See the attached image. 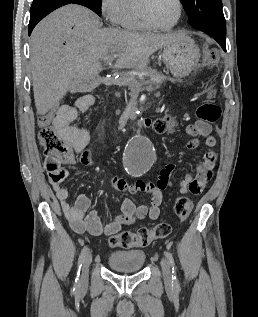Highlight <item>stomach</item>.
I'll return each instance as SVG.
<instances>
[{
    "label": "stomach",
    "instance_id": "0dacf381",
    "mask_svg": "<svg viewBox=\"0 0 258 317\" xmlns=\"http://www.w3.org/2000/svg\"><path fill=\"white\" fill-rule=\"evenodd\" d=\"M200 50L191 36H183L178 42L164 46L162 60L174 76H187L197 64Z\"/></svg>",
    "mask_w": 258,
    "mask_h": 317
}]
</instances>
